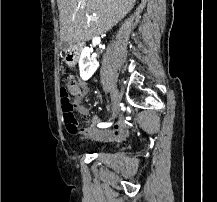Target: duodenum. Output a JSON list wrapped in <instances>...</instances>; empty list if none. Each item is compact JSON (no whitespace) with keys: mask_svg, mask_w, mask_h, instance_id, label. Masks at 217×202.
<instances>
[{"mask_svg":"<svg viewBox=\"0 0 217 202\" xmlns=\"http://www.w3.org/2000/svg\"><path fill=\"white\" fill-rule=\"evenodd\" d=\"M67 60H68V62H69L70 64L74 63V61H75V55H69V56L67 57Z\"/></svg>","mask_w":217,"mask_h":202,"instance_id":"1","label":"duodenum"}]
</instances>
